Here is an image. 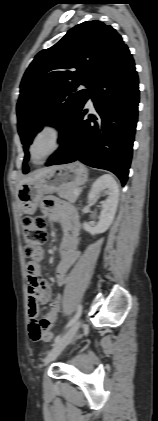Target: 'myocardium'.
Wrapping results in <instances>:
<instances>
[{
    "instance_id": "obj_1",
    "label": "myocardium",
    "mask_w": 158,
    "mask_h": 421,
    "mask_svg": "<svg viewBox=\"0 0 158 421\" xmlns=\"http://www.w3.org/2000/svg\"><path fill=\"white\" fill-rule=\"evenodd\" d=\"M45 132H50L52 134L53 146L46 155H44L41 159L36 160L34 159V156H33V146L35 142L37 141V139ZM63 138H64V129L58 121L47 120L41 123L34 130L29 141L28 154H29V158L31 162L37 165L44 163L47 159L53 156L60 149V147L62 146Z\"/></svg>"
}]
</instances>
